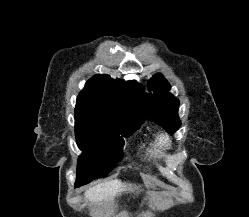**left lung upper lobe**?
Masks as SVG:
<instances>
[{"instance_id":"obj_1","label":"left lung upper lobe","mask_w":249,"mask_h":217,"mask_svg":"<svg viewBox=\"0 0 249 217\" xmlns=\"http://www.w3.org/2000/svg\"><path fill=\"white\" fill-rule=\"evenodd\" d=\"M148 88L153 90V94L144 93L147 119L174 134L181 125L177 115L179 100L168 93L170 85L161 74H156L149 80Z\"/></svg>"}]
</instances>
